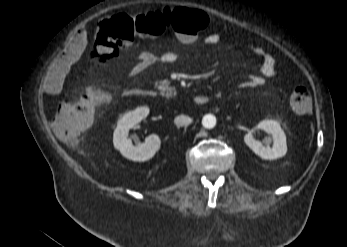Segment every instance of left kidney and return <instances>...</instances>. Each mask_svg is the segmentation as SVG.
Returning a JSON list of instances; mask_svg holds the SVG:
<instances>
[{
  "label": "left kidney",
  "mask_w": 347,
  "mask_h": 247,
  "mask_svg": "<svg viewBox=\"0 0 347 247\" xmlns=\"http://www.w3.org/2000/svg\"><path fill=\"white\" fill-rule=\"evenodd\" d=\"M256 129H261L271 134L273 146H264L253 137L252 132H249L244 136V142L255 154L265 160H274L286 154V135L277 121L263 120L257 125Z\"/></svg>",
  "instance_id": "5707ae66"
}]
</instances>
